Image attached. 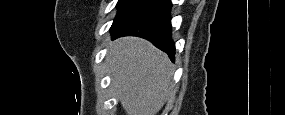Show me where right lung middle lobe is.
<instances>
[{
	"instance_id": "right-lung-middle-lobe-1",
	"label": "right lung middle lobe",
	"mask_w": 285,
	"mask_h": 115,
	"mask_svg": "<svg viewBox=\"0 0 285 115\" xmlns=\"http://www.w3.org/2000/svg\"><path fill=\"white\" fill-rule=\"evenodd\" d=\"M156 2H158V0H119L117 3L118 13L111 26V31H114L129 18L152 6Z\"/></svg>"
}]
</instances>
